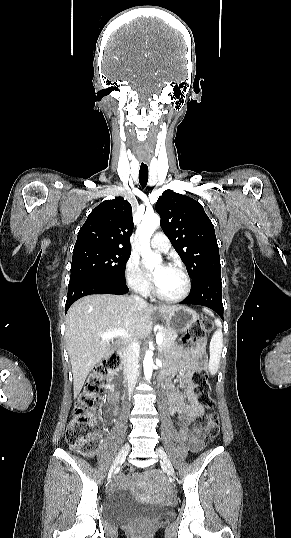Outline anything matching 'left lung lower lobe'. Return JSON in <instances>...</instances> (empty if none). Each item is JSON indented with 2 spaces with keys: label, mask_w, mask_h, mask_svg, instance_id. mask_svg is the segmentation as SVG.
Instances as JSON below:
<instances>
[{
  "label": "left lung lower lobe",
  "mask_w": 291,
  "mask_h": 538,
  "mask_svg": "<svg viewBox=\"0 0 291 538\" xmlns=\"http://www.w3.org/2000/svg\"><path fill=\"white\" fill-rule=\"evenodd\" d=\"M180 304L209 307L223 319L221 272L209 274L198 283L193 284L190 294Z\"/></svg>",
  "instance_id": "obj_1"
}]
</instances>
